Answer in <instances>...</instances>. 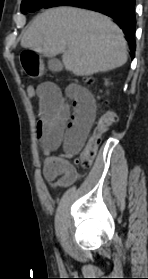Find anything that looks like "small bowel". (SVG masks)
Instances as JSON below:
<instances>
[{
	"label": "small bowel",
	"instance_id": "obj_1",
	"mask_svg": "<svg viewBox=\"0 0 148 279\" xmlns=\"http://www.w3.org/2000/svg\"><path fill=\"white\" fill-rule=\"evenodd\" d=\"M37 137L46 156L43 177L55 188H67L82 176L69 159L84 145L95 119L92 94L80 85L60 89L52 83L37 87ZM60 155H54L57 151Z\"/></svg>",
	"mask_w": 148,
	"mask_h": 279
}]
</instances>
